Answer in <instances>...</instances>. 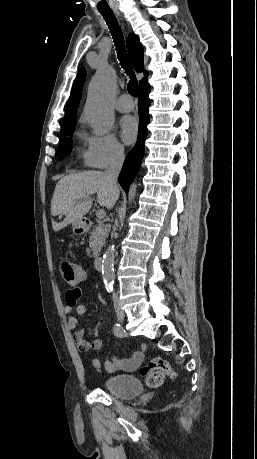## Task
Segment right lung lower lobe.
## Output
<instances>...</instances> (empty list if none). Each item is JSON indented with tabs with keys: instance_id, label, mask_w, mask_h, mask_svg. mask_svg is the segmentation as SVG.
I'll return each mask as SVG.
<instances>
[{
	"instance_id": "right-lung-lower-lobe-1",
	"label": "right lung lower lobe",
	"mask_w": 257,
	"mask_h": 459,
	"mask_svg": "<svg viewBox=\"0 0 257 459\" xmlns=\"http://www.w3.org/2000/svg\"><path fill=\"white\" fill-rule=\"evenodd\" d=\"M149 92L150 85L148 82H144L139 86L138 109L140 124L137 143L127 155L119 175V183L126 193H128L129 185L140 168L141 160L145 153L144 141L147 136V124L150 119L148 113V108L150 106V99L148 97Z\"/></svg>"
}]
</instances>
